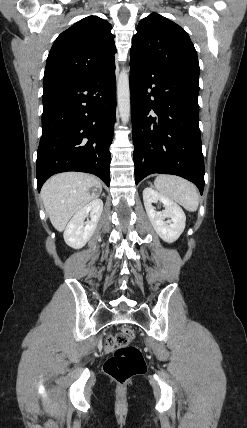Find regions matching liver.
I'll use <instances>...</instances> for the list:
<instances>
[{
  "mask_svg": "<svg viewBox=\"0 0 247 428\" xmlns=\"http://www.w3.org/2000/svg\"><path fill=\"white\" fill-rule=\"evenodd\" d=\"M93 192L90 193V189ZM102 191L100 181L89 174L67 172L52 176L41 189L45 210L54 228L62 232L71 217Z\"/></svg>",
  "mask_w": 247,
  "mask_h": 428,
  "instance_id": "liver-1",
  "label": "liver"
}]
</instances>
